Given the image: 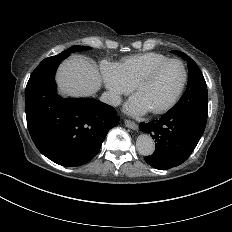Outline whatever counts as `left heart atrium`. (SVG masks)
<instances>
[{"label": "left heart atrium", "mask_w": 232, "mask_h": 232, "mask_svg": "<svg viewBox=\"0 0 232 232\" xmlns=\"http://www.w3.org/2000/svg\"><path fill=\"white\" fill-rule=\"evenodd\" d=\"M124 111L130 115L139 116L144 115L151 110L137 94H134L125 104Z\"/></svg>", "instance_id": "obj_1"}]
</instances>
